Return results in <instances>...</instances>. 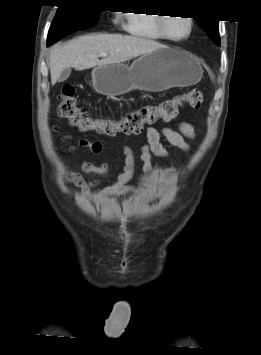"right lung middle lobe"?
Returning a JSON list of instances; mask_svg holds the SVG:
<instances>
[{
    "instance_id": "right-lung-middle-lobe-1",
    "label": "right lung middle lobe",
    "mask_w": 261,
    "mask_h": 355,
    "mask_svg": "<svg viewBox=\"0 0 261 355\" xmlns=\"http://www.w3.org/2000/svg\"><path fill=\"white\" fill-rule=\"evenodd\" d=\"M90 6L91 3L86 0L65 2L60 6L51 24L47 41L95 26L102 10Z\"/></svg>"
}]
</instances>
